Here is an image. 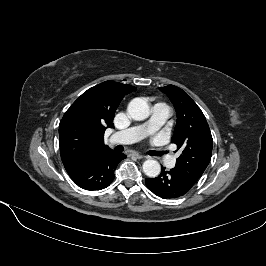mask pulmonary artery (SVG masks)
<instances>
[{"instance_id":"pulmonary-artery-1","label":"pulmonary artery","mask_w":266,"mask_h":266,"mask_svg":"<svg viewBox=\"0 0 266 266\" xmlns=\"http://www.w3.org/2000/svg\"><path fill=\"white\" fill-rule=\"evenodd\" d=\"M169 109L162 105L156 104L152 110L150 121L141 127H133L114 133L110 137V142L114 144H129L137 141L144 134L152 132L161 126L169 117ZM176 159L172 156H164V162L168 167H174Z\"/></svg>"}]
</instances>
